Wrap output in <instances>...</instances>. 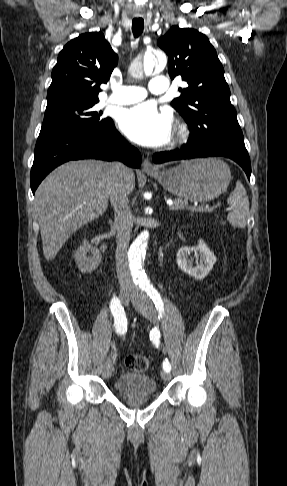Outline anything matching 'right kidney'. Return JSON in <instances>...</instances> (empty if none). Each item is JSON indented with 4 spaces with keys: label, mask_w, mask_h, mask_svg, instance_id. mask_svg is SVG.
Masks as SVG:
<instances>
[{
    "label": "right kidney",
    "mask_w": 287,
    "mask_h": 486,
    "mask_svg": "<svg viewBox=\"0 0 287 486\" xmlns=\"http://www.w3.org/2000/svg\"><path fill=\"white\" fill-rule=\"evenodd\" d=\"M88 253H91L92 256H88ZM74 259L79 270L88 274L98 268L101 254L96 247L91 246L87 240H83L82 245L74 253Z\"/></svg>",
    "instance_id": "right-kidney-1"
}]
</instances>
